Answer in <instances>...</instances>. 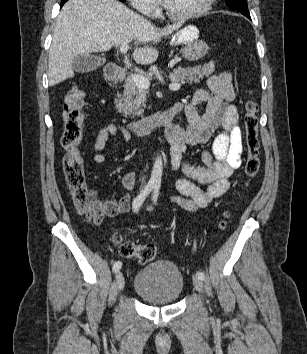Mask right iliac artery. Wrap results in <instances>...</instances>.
<instances>
[{
    "label": "right iliac artery",
    "mask_w": 307,
    "mask_h": 354,
    "mask_svg": "<svg viewBox=\"0 0 307 354\" xmlns=\"http://www.w3.org/2000/svg\"><path fill=\"white\" fill-rule=\"evenodd\" d=\"M154 187H155L154 184H150V183L147 184L144 190L133 200L132 207L134 212L136 213L138 212L142 203L144 202V200L149 195V193L153 190ZM121 267H122V262L116 261L112 267L113 272L117 273L121 269Z\"/></svg>",
    "instance_id": "right-iliac-artery-1"
}]
</instances>
